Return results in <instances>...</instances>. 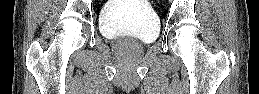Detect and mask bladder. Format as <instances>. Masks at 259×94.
Wrapping results in <instances>:
<instances>
[{
	"instance_id": "1",
	"label": "bladder",
	"mask_w": 259,
	"mask_h": 94,
	"mask_svg": "<svg viewBox=\"0 0 259 94\" xmlns=\"http://www.w3.org/2000/svg\"><path fill=\"white\" fill-rule=\"evenodd\" d=\"M100 31L109 39L131 36L145 43L155 38L157 23L147 6L124 10L111 6L101 17Z\"/></svg>"
}]
</instances>
